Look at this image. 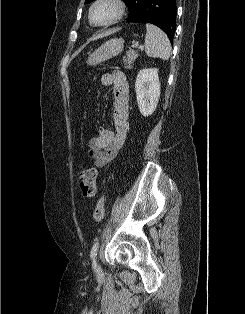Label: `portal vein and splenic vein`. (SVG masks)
Instances as JSON below:
<instances>
[{
    "label": "portal vein and splenic vein",
    "mask_w": 245,
    "mask_h": 314,
    "mask_svg": "<svg viewBox=\"0 0 245 314\" xmlns=\"http://www.w3.org/2000/svg\"><path fill=\"white\" fill-rule=\"evenodd\" d=\"M134 47H135L136 50H137V49H142V46L139 45L138 42H136V43L134 44Z\"/></svg>",
    "instance_id": "1"
}]
</instances>
